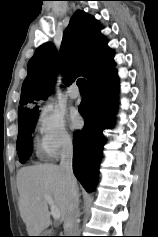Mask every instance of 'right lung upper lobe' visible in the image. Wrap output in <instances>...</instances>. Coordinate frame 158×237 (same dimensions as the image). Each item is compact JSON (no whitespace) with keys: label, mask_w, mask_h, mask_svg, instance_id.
Segmentation results:
<instances>
[{"label":"right lung upper lobe","mask_w":158,"mask_h":237,"mask_svg":"<svg viewBox=\"0 0 158 237\" xmlns=\"http://www.w3.org/2000/svg\"><path fill=\"white\" fill-rule=\"evenodd\" d=\"M101 24L94 17L77 10L66 30L60 48V62L70 85L78 76L87 83L115 66L113 51L107 38L100 33ZM58 56L55 46L45 43L38 47L29 60L18 109V119L38 114V107L28 108L34 101L45 100L51 93L57 74Z\"/></svg>","instance_id":"1"}]
</instances>
